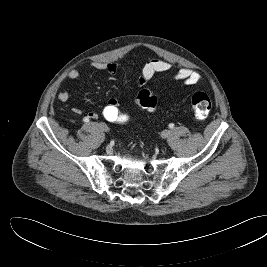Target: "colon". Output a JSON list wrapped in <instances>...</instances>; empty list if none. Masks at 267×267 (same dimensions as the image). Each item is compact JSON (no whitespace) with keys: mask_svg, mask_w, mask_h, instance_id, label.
<instances>
[{"mask_svg":"<svg viewBox=\"0 0 267 267\" xmlns=\"http://www.w3.org/2000/svg\"><path fill=\"white\" fill-rule=\"evenodd\" d=\"M136 103L143 109L153 112L157 106V99L151 91L142 89L136 97ZM191 105L198 120H205L211 111V101L203 92L192 94ZM100 116L112 124H125L128 121V117L121 111L119 105L109 100L101 108Z\"/></svg>","mask_w":267,"mask_h":267,"instance_id":"5ec220e1","label":"colon"}]
</instances>
